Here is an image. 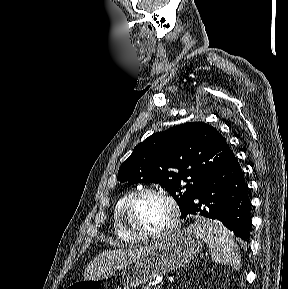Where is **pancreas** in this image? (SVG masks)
<instances>
[{
	"label": "pancreas",
	"instance_id": "cf45deb5",
	"mask_svg": "<svg viewBox=\"0 0 288 289\" xmlns=\"http://www.w3.org/2000/svg\"><path fill=\"white\" fill-rule=\"evenodd\" d=\"M143 289H152V286H145Z\"/></svg>",
	"mask_w": 288,
	"mask_h": 289
}]
</instances>
